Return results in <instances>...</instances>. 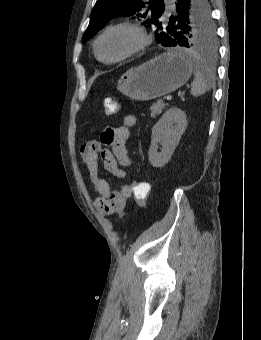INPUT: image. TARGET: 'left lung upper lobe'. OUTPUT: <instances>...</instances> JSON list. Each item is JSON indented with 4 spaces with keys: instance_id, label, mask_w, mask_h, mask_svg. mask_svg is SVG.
<instances>
[{
    "instance_id": "1",
    "label": "left lung upper lobe",
    "mask_w": 261,
    "mask_h": 340,
    "mask_svg": "<svg viewBox=\"0 0 261 340\" xmlns=\"http://www.w3.org/2000/svg\"><path fill=\"white\" fill-rule=\"evenodd\" d=\"M164 10L163 0H97L82 43L93 37L110 19L123 15L142 17L146 19L143 24L156 26L157 43L163 46L171 36L177 40L176 46L200 52L216 51V30L207 0H192L189 13L182 16L177 25L162 19Z\"/></svg>"
}]
</instances>
